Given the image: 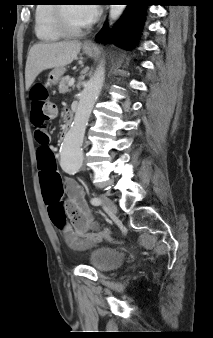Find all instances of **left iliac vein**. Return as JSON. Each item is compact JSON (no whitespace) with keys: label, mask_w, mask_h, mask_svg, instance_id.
I'll use <instances>...</instances> for the list:
<instances>
[{"label":"left iliac vein","mask_w":213,"mask_h":338,"mask_svg":"<svg viewBox=\"0 0 213 338\" xmlns=\"http://www.w3.org/2000/svg\"><path fill=\"white\" fill-rule=\"evenodd\" d=\"M100 199L102 201V207L104 210L112 213V214H116L118 212L117 206L115 205V203L108 198L105 195H101Z\"/></svg>","instance_id":"4c4485c4"}]
</instances>
